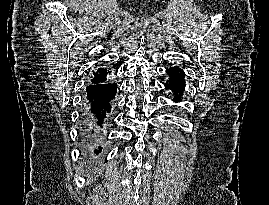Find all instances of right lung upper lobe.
<instances>
[{
    "label": "right lung upper lobe",
    "mask_w": 269,
    "mask_h": 205,
    "mask_svg": "<svg viewBox=\"0 0 269 205\" xmlns=\"http://www.w3.org/2000/svg\"><path fill=\"white\" fill-rule=\"evenodd\" d=\"M111 71L105 68H98L96 72L93 71V78L91 79L92 84L109 82L111 79Z\"/></svg>",
    "instance_id": "1"
}]
</instances>
